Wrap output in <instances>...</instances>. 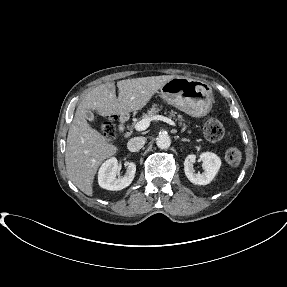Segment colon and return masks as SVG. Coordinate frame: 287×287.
I'll return each instance as SVG.
<instances>
[{"label": "colon", "instance_id": "colon-1", "mask_svg": "<svg viewBox=\"0 0 287 287\" xmlns=\"http://www.w3.org/2000/svg\"><path fill=\"white\" fill-rule=\"evenodd\" d=\"M101 131L106 138H111L114 131L112 118H107L101 124ZM204 135L210 141H219L224 136V127L218 119H209L204 125ZM225 161L230 165H238L242 159V152L238 147L229 146L224 151Z\"/></svg>", "mask_w": 287, "mask_h": 287}]
</instances>
